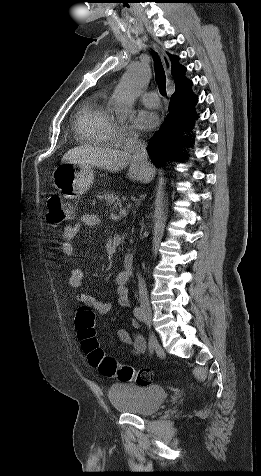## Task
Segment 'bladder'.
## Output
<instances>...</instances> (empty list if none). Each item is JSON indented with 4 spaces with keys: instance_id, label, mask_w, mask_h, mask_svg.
<instances>
[{
    "instance_id": "31cf9c89",
    "label": "bladder",
    "mask_w": 261,
    "mask_h": 476,
    "mask_svg": "<svg viewBox=\"0 0 261 476\" xmlns=\"http://www.w3.org/2000/svg\"><path fill=\"white\" fill-rule=\"evenodd\" d=\"M108 397L113 407L120 412L147 416L162 407L167 394L159 385L122 382L109 388Z\"/></svg>"
}]
</instances>
